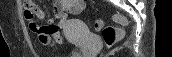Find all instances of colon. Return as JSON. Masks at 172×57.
Masks as SVG:
<instances>
[{
  "instance_id": "5ec220e1",
  "label": "colon",
  "mask_w": 172,
  "mask_h": 57,
  "mask_svg": "<svg viewBox=\"0 0 172 57\" xmlns=\"http://www.w3.org/2000/svg\"><path fill=\"white\" fill-rule=\"evenodd\" d=\"M38 13V9L34 6H28L25 8V14L29 16H35ZM117 20L122 24H126V20L122 17H117ZM94 28L97 31H101L104 43L108 47L115 45L122 37V31L114 26H104L103 22L97 20L94 22Z\"/></svg>"
}]
</instances>
